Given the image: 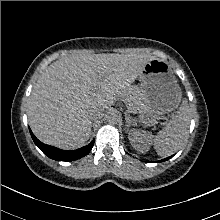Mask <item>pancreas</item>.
<instances>
[{
	"instance_id": "cf45deb5",
	"label": "pancreas",
	"mask_w": 220,
	"mask_h": 220,
	"mask_svg": "<svg viewBox=\"0 0 220 220\" xmlns=\"http://www.w3.org/2000/svg\"><path fill=\"white\" fill-rule=\"evenodd\" d=\"M140 89L137 86L130 87V89L123 95L126 107L133 110L140 100Z\"/></svg>"
}]
</instances>
